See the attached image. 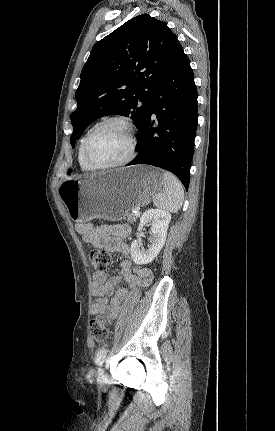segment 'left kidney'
Segmentation results:
<instances>
[{
  "instance_id": "1",
  "label": "left kidney",
  "mask_w": 275,
  "mask_h": 431,
  "mask_svg": "<svg viewBox=\"0 0 275 431\" xmlns=\"http://www.w3.org/2000/svg\"><path fill=\"white\" fill-rule=\"evenodd\" d=\"M171 220V214L165 210L149 209L140 218L138 231L148 222L151 223L150 246L148 249H140L137 240L131 244V257L138 265L152 262L165 244L167 229Z\"/></svg>"
}]
</instances>
